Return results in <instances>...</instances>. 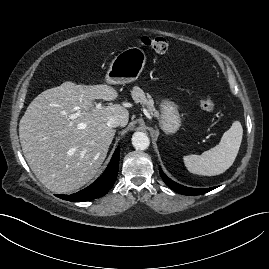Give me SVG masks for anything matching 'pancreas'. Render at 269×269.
<instances>
[{
    "label": "pancreas",
    "mask_w": 269,
    "mask_h": 269,
    "mask_svg": "<svg viewBox=\"0 0 269 269\" xmlns=\"http://www.w3.org/2000/svg\"><path fill=\"white\" fill-rule=\"evenodd\" d=\"M132 98L136 103H141L142 105L146 106L147 110L150 114L154 116H158V112L154 107V100L150 94H145V92L140 89L139 87H134L132 92Z\"/></svg>",
    "instance_id": "1"
}]
</instances>
